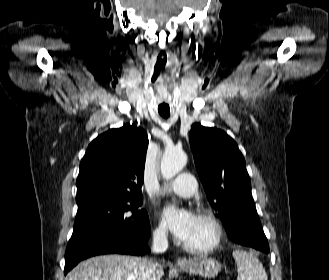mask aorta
<instances>
[{"instance_id": "762f6f07", "label": "aorta", "mask_w": 329, "mask_h": 280, "mask_svg": "<svg viewBox=\"0 0 329 280\" xmlns=\"http://www.w3.org/2000/svg\"><path fill=\"white\" fill-rule=\"evenodd\" d=\"M187 155L179 149L167 148L161 160V174L166 180L172 179L186 165Z\"/></svg>"}]
</instances>
